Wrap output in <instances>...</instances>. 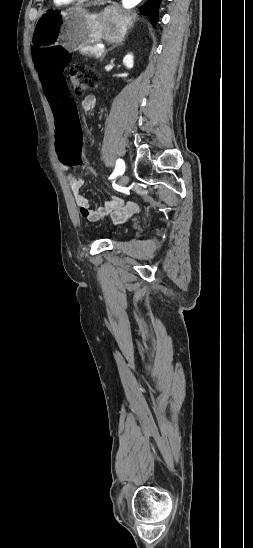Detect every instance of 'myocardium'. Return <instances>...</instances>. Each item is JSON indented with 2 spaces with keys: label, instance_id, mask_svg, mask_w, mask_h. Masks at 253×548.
Masks as SVG:
<instances>
[{
  "label": "myocardium",
  "instance_id": "1",
  "mask_svg": "<svg viewBox=\"0 0 253 548\" xmlns=\"http://www.w3.org/2000/svg\"><path fill=\"white\" fill-rule=\"evenodd\" d=\"M74 1H102V0H74Z\"/></svg>",
  "mask_w": 253,
  "mask_h": 548
}]
</instances>
